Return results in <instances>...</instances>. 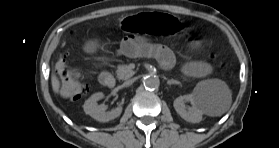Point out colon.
I'll list each match as a JSON object with an SVG mask.
<instances>
[{
    "instance_id": "obj_1",
    "label": "colon",
    "mask_w": 279,
    "mask_h": 148,
    "mask_svg": "<svg viewBox=\"0 0 279 148\" xmlns=\"http://www.w3.org/2000/svg\"><path fill=\"white\" fill-rule=\"evenodd\" d=\"M55 69L61 79L60 93L62 97L72 102H76L88 92L87 85L82 84L79 81L77 73L69 69L66 53H62L59 56Z\"/></svg>"
}]
</instances>
